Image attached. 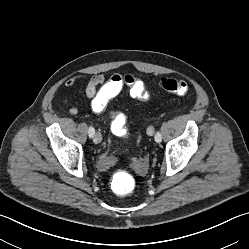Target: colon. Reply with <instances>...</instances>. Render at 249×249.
<instances>
[{"mask_svg":"<svg viewBox=\"0 0 249 249\" xmlns=\"http://www.w3.org/2000/svg\"><path fill=\"white\" fill-rule=\"evenodd\" d=\"M111 90L110 97L107 99L106 103H108L113 95L119 93V91L123 87H128L129 93L131 97L139 99V100H148L149 93L147 91L146 85L142 79L132 74H114L110 78ZM162 88L172 94L183 96L188 92L189 86L185 80L182 79H163L162 80ZM112 132L117 136H127L128 129L126 125L125 119L116 121L112 126ZM128 176L124 173H119L115 180V193L118 195H126L130 192V189L123 184L127 183Z\"/></svg>","mask_w":249,"mask_h":249,"instance_id":"colon-1","label":"colon"}]
</instances>
